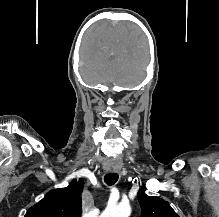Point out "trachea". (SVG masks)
<instances>
[{
	"label": "trachea",
	"instance_id": "trachea-1",
	"mask_svg": "<svg viewBox=\"0 0 219 217\" xmlns=\"http://www.w3.org/2000/svg\"><path fill=\"white\" fill-rule=\"evenodd\" d=\"M118 174L112 173V174H107L104 177V181L107 185L111 186L114 185L118 181Z\"/></svg>",
	"mask_w": 219,
	"mask_h": 217
}]
</instances>
